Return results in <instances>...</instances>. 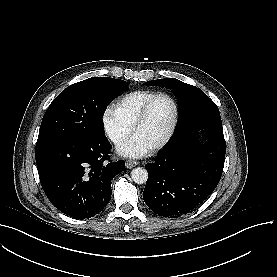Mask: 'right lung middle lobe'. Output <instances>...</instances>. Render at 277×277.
<instances>
[{"mask_svg": "<svg viewBox=\"0 0 277 277\" xmlns=\"http://www.w3.org/2000/svg\"><path fill=\"white\" fill-rule=\"evenodd\" d=\"M123 80L93 77L64 89L43 116L37 143L104 136L106 106L128 89Z\"/></svg>", "mask_w": 277, "mask_h": 277, "instance_id": "right-lung-middle-lobe-1", "label": "right lung middle lobe"}]
</instances>
